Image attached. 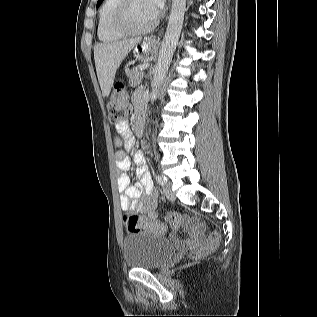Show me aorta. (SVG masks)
Wrapping results in <instances>:
<instances>
[{
	"mask_svg": "<svg viewBox=\"0 0 317 317\" xmlns=\"http://www.w3.org/2000/svg\"><path fill=\"white\" fill-rule=\"evenodd\" d=\"M186 0H172V8L164 40L159 50L157 63L153 70L150 99L154 101L171 63L183 26Z\"/></svg>",
	"mask_w": 317,
	"mask_h": 317,
	"instance_id": "aorta-1",
	"label": "aorta"
}]
</instances>
